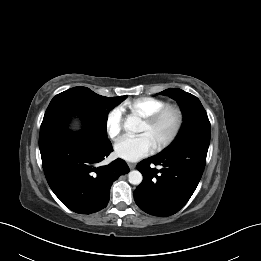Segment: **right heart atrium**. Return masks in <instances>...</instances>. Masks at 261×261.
<instances>
[{"label":"right heart atrium","mask_w":261,"mask_h":261,"mask_svg":"<svg viewBox=\"0 0 261 261\" xmlns=\"http://www.w3.org/2000/svg\"><path fill=\"white\" fill-rule=\"evenodd\" d=\"M124 112L120 107L111 109L105 119V129L111 139H115L123 130Z\"/></svg>","instance_id":"d8ad5b80"}]
</instances>
